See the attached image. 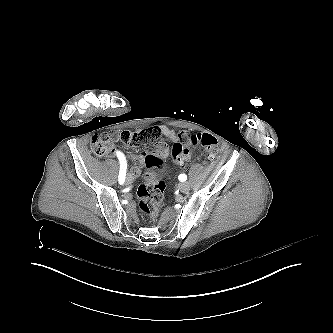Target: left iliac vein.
I'll use <instances>...</instances> for the list:
<instances>
[{
  "instance_id": "4c4485c4",
  "label": "left iliac vein",
  "mask_w": 333,
  "mask_h": 333,
  "mask_svg": "<svg viewBox=\"0 0 333 333\" xmlns=\"http://www.w3.org/2000/svg\"><path fill=\"white\" fill-rule=\"evenodd\" d=\"M178 188L182 193H187L190 189V185L188 182H181L179 183Z\"/></svg>"
}]
</instances>
